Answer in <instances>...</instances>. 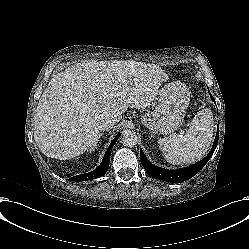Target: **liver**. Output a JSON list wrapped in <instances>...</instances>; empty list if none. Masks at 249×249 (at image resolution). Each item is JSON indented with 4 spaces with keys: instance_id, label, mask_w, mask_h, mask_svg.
Listing matches in <instances>:
<instances>
[{
    "instance_id": "6515ba94",
    "label": "liver",
    "mask_w": 249,
    "mask_h": 249,
    "mask_svg": "<svg viewBox=\"0 0 249 249\" xmlns=\"http://www.w3.org/2000/svg\"><path fill=\"white\" fill-rule=\"evenodd\" d=\"M162 73L155 66L90 61L54 77L35 114L34 137L47 156L71 159L99 141L101 123L117 122L128 107L145 109L159 92Z\"/></svg>"
}]
</instances>
